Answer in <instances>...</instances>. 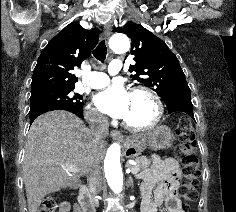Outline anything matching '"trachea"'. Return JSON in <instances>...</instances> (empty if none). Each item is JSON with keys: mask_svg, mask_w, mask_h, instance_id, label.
<instances>
[{"mask_svg": "<svg viewBox=\"0 0 236 212\" xmlns=\"http://www.w3.org/2000/svg\"><path fill=\"white\" fill-rule=\"evenodd\" d=\"M107 54V47L105 45V41L102 40L98 46L94 49L93 55L94 57L99 60L100 62H104Z\"/></svg>", "mask_w": 236, "mask_h": 212, "instance_id": "trachea-1", "label": "trachea"}]
</instances>
